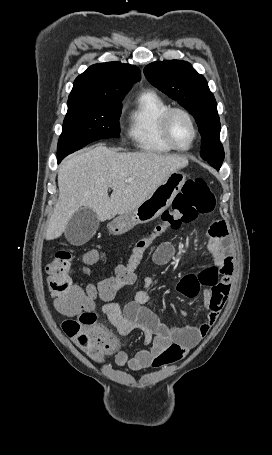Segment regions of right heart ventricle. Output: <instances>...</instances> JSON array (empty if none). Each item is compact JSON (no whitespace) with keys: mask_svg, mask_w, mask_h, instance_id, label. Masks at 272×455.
<instances>
[{"mask_svg":"<svg viewBox=\"0 0 272 455\" xmlns=\"http://www.w3.org/2000/svg\"><path fill=\"white\" fill-rule=\"evenodd\" d=\"M169 105L153 91L142 92L128 116V136L134 146L152 154L170 153L171 149L163 140L160 118Z\"/></svg>","mask_w":272,"mask_h":455,"instance_id":"1","label":"right heart ventricle"}]
</instances>
